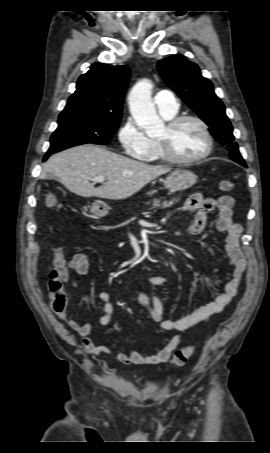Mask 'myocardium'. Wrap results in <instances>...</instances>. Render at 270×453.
Instances as JSON below:
<instances>
[{"label": "myocardium", "mask_w": 270, "mask_h": 453, "mask_svg": "<svg viewBox=\"0 0 270 453\" xmlns=\"http://www.w3.org/2000/svg\"><path fill=\"white\" fill-rule=\"evenodd\" d=\"M188 121L195 122L201 127L203 134L205 136V139H206V147H205V150L196 157L181 158L173 153L168 137L164 138V139H158L157 142H158V145L160 147V150H161L164 158L167 161L172 162L174 164L186 165V164H194V163L200 162L203 159H205L206 157H208L213 149V137L210 132L209 126L203 119H201L198 116H194V115L174 116L168 120L166 127H167L168 131L170 133H172L181 124H183L184 122H188Z\"/></svg>", "instance_id": "obj_1"}]
</instances>
